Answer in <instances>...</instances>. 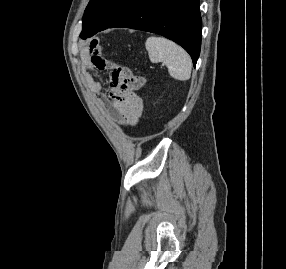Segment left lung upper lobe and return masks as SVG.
Returning <instances> with one entry per match:
<instances>
[{
    "instance_id": "obj_1",
    "label": "left lung upper lobe",
    "mask_w": 286,
    "mask_h": 269,
    "mask_svg": "<svg viewBox=\"0 0 286 269\" xmlns=\"http://www.w3.org/2000/svg\"><path fill=\"white\" fill-rule=\"evenodd\" d=\"M142 0H90L83 16L81 38L91 37L125 16Z\"/></svg>"
}]
</instances>
